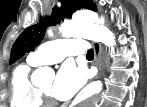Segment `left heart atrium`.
<instances>
[{"label":"left heart atrium","mask_w":147,"mask_h":107,"mask_svg":"<svg viewBox=\"0 0 147 107\" xmlns=\"http://www.w3.org/2000/svg\"><path fill=\"white\" fill-rule=\"evenodd\" d=\"M86 79L87 75L83 68L66 64L57 74L52 88V95L58 100H68L84 85Z\"/></svg>","instance_id":"obj_1"}]
</instances>
